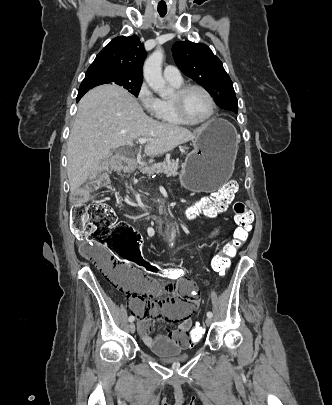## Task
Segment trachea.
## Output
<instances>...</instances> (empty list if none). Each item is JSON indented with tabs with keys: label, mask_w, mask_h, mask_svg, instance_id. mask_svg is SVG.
<instances>
[{
	"label": "trachea",
	"mask_w": 332,
	"mask_h": 405,
	"mask_svg": "<svg viewBox=\"0 0 332 405\" xmlns=\"http://www.w3.org/2000/svg\"><path fill=\"white\" fill-rule=\"evenodd\" d=\"M158 13L160 14L161 17H163L166 15L167 11L158 10Z\"/></svg>",
	"instance_id": "3493384b"
}]
</instances>
